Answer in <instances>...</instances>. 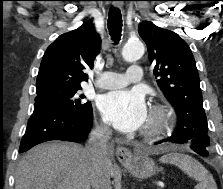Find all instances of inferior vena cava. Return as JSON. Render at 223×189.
I'll return each instance as SVG.
<instances>
[{"label":"inferior vena cava","instance_id":"602c4592","mask_svg":"<svg viewBox=\"0 0 223 189\" xmlns=\"http://www.w3.org/2000/svg\"><path fill=\"white\" fill-rule=\"evenodd\" d=\"M110 134L111 131L107 126H97L91 132L85 148L91 160L90 183L93 189H111L106 144Z\"/></svg>","mask_w":223,"mask_h":189}]
</instances>
